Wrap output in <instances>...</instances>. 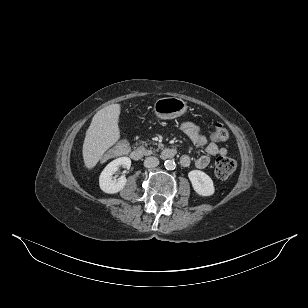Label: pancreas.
I'll list each match as a JSON object with an SVG mask.
<instances>
[{
  "mask_svg": "<svg viewBox=\"0 0 308 308\" xmlns=\"http://www.w3.org/2000/svg\"><path fill=\"white\" fill-rule=\"evenodd\" d=\"M141 144H142V146H140V147L145 151L146 154L149 155V154H152L153 152H155V151L152 150V148H150V149H148V150H145V148H144L143 145L147 146V143L141 142ZM157 150H158V149H156V151H157Z\"/></svg>",
  "mask_w": 308,
  "mask_h": 308,
  "instance_id": "cf45deb5",
  "label": "pancreas"
}]
</instances>
